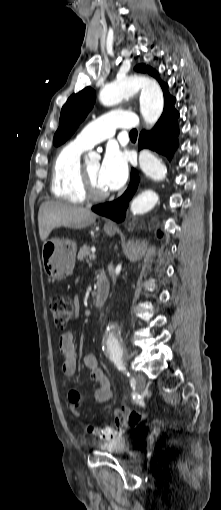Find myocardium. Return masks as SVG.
<instances>
[{"label": "myocardium", "mask_w": 221, "mask_h": 510, "mask_svg": "<svg viewBox=\"0 0 221 510\" xmlns=\"http://www.w3.org/2000/svg\"><path fill=\"white\" fill-rule=\"evenodd\" d=\"M81 187L85 200L100 202L109 197L108 192H98L94 189L85 166L81 167Z\"/></svg>", "instance_id": "obj_1"}]
</instances>
